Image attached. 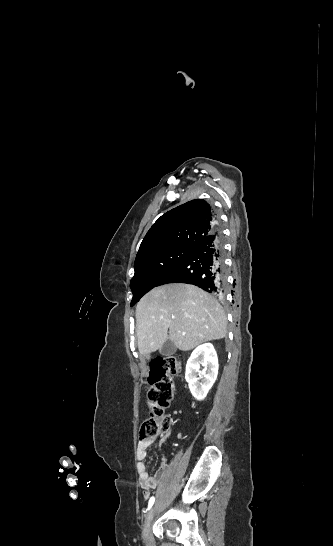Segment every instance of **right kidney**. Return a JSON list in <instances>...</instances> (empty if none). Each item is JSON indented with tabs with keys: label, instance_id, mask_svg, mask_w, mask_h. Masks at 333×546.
I'll return each instance as SVG.
<instances>
[{
	"label": "right kidney",
	"instance_id": "ca27d5eb",
	"mask_svg": "<svg viewBox=\"0 0 333 546\" xmlns=\"http://www.w3.org/2000/svg\"><path fill=\"white\" fill-rule=\"evenodd\" d=\"M200 364L205 367L203 371L199 370ZM218 367L217 353L212 344L200 345L192 352L186 364L185 379L195 399L206 397L217 378Z\"/></svg>",
	"mask_w": 333,
	"mask_h": 546
}]
</instances>
